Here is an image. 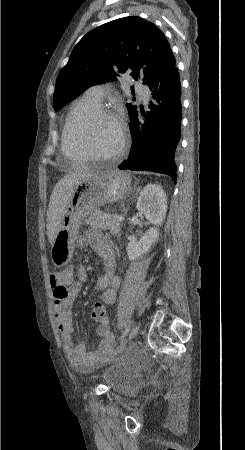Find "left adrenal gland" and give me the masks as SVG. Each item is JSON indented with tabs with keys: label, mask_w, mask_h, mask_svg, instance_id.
I'll list each match as a JSON object with an SVG mask.
<instances>
[{
	"label": "left adrenal gland",
	"mask_w": 245,
	"mask_h": 450,
	"mask_svg": "<svg viewBox=\"0 0 245 450\" xmlns=\"http://www.w3.org/2000/svg\"><path fill=\"white\" fill-rule=\"evenodd\" d=\"M139 191H140V188L137 189V192H139Z\"/></svg>",
	"instance_id": "1"
}]
</instances>
